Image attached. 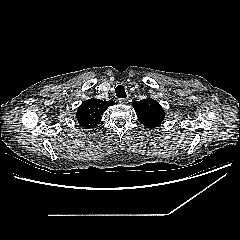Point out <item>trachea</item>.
<instances>
[{
	"instance_id": "1",
	"label": "trachea",
	"mask_w": 240,
	"mask_h": 240,
	"mask_svg": "<svg viewBox=\"0 0 240 240\" xmlns=\"http://www.w3.org/2000/svg\"><path fill=\"white\" fill-rule=\"evenodd\" d=\"M115 92H116V96L118 98H126L127 97L125 88L122 85H118L115 89Z\"/></svg>"
}]
</instances>
